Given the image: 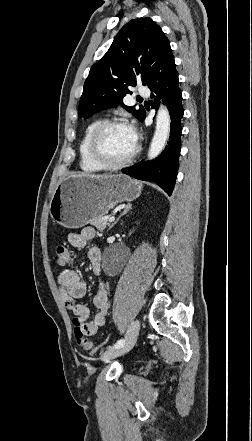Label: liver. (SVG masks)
Here are the masks:
<instances>
[{
  "label": "liver",
  "mask_w": 252,
  "mask_h": 441,
  "mask_svg": "<svg viewBox=\"0 0 252 441\" xmlns=\"http://www.w3.org/2000/svg\"><path fill=\"white\" fill-rule=\"evenodd\" d=\"M73 176H77V175H73ZM90 176H93V177H104V176H106V175H90Z\"/></svg>",
  "instance_id": "6515ba94"
}]
</instances>
